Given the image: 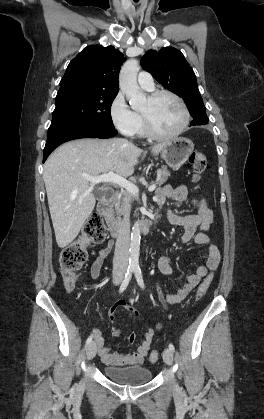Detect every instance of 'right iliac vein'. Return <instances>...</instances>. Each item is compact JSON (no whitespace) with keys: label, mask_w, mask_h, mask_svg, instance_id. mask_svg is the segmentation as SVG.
<instances>
[{"label":"right iliac vein","mask_w":264,"mask_h":419,"mask_svg":"<svg viewBox=\"0 0 264 419\" xmlns=\"http://www.w3.org/2000/svg\"><path fill=\"white\" fill-rule=\"evenodd\" d=\"M121 280H122V276L121 275H118V276L115 277L114 283L115 284H118V283H120ZM96 351H97V349H96L95 343L94 342L90 343L88 345L87 349H86L87 359L88 360L93 359L95 357V355H96Z\"/></svg>","instance_id":"63e3f726"}]
</instances>
